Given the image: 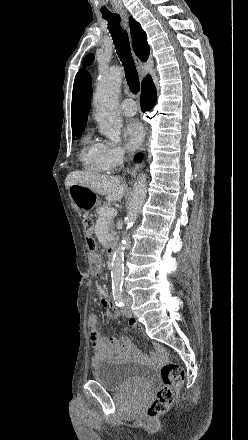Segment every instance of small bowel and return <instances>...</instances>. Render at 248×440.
Masks as SVG:
<instances>
[{"label":"small bowel","mask_w":248,"mask_h":440,"mask_svg":"<svg viewBox=\"0 0 248 440\" xmlns=\"http://www.w3.org/2000/svg\"><path fill=\"white\" fill-rule=\"evenodd\" d=\"M102 303L107 305V297L102 296ZM115 314L118 311L114 309ZM130 326L137 330L139 333L143 334L144 330L142 326L136 321H130ZM88 332L92 344V365L97 366L104 361L118 360L124 357L132 356L134 358H140V352L134 347L132 342L126 338L122 337L120 341L114 338L105 337L98 329V322L95 315H90L88 319ZM155 349V360L160 361L165 358V350L158 344L154 345Z\"/></svg>","instance_id":"obj_1"}]
</instances>
